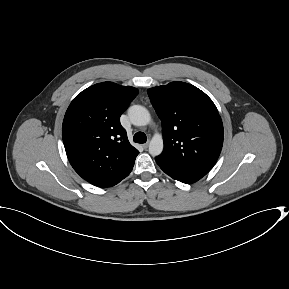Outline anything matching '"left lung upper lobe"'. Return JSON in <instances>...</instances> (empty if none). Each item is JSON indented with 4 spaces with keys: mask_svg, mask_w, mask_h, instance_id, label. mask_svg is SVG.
<instances>
[{
    "mask_svg": "<svg viewBox=\"0 0 289 289\" xmlns=\"http://www.w3.org/2000/svg\"><path fill=\"white\" fill-rule=\"evenodd\" d=\"M163 124L164 150L156 157L167 172L206 175L223 145V124L212 100L197 87L171 82L147 90Z\"/></svg>",
    "mask_w": 289,
    "mask_h": 289,
    "instance_id": "5c2ea615",
    "label": "left lung upper lobe"
}]
</instances>
